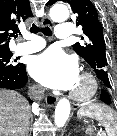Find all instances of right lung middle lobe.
<instances>
[{
  "instance_id": "obj_1",
  "label": "right lung middle lobe",
  "mask_w": 117,
  "mask_h": 136,
  "mask_svg": "<svg viewBox=\"0 0 117 136\" xmlns=\"http://www.w3.org/2000/svg\"><path fill=\"white\" fill-rule=\"evenodd\" d=\"M12 55L11 51L0 52V69H15L20 65L11 59Z\"/></svg>"
}]
</instances>
